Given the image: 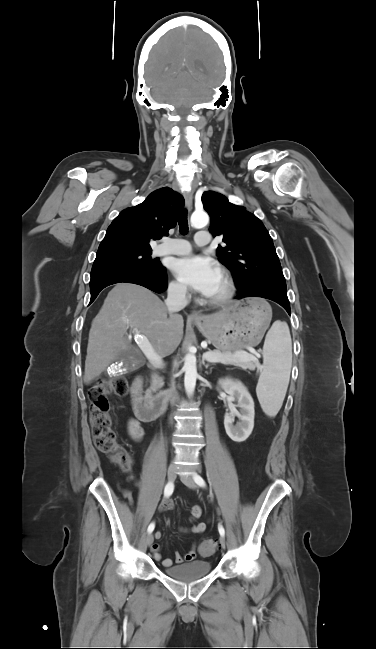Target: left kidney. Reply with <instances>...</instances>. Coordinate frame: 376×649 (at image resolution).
Instances as JSON below:
<instances>
[{
  "label": "left kidney",
  "mask_w": 376,
  "mask_h": 649,
  "mask_svg": "<svg viewBox=\"0 0 376 649\" xmlns=\"http://www.w3.org/2000/svg\"><path fill=\"white\" fill-rule=\"evenodd\" d=\"M219 387L229 395V400L237 401L224 417V427L228 436L236 442H243L252 433L254 427V401L247 388L239 380L220 379ZM239 408V410L236 409ZM237 416L240 422L233 424Z\"/></svg>",
  "instance_id": "1"
}]
</instances>
